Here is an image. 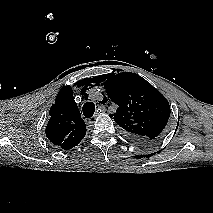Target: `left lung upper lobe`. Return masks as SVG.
<instances>
[{
	"instance_id": "obj_1",
	"label": "left lung upper lobe",
	"mask_w": 213,
	"mask_h": 213,
	"mask_svg": "<svg viewBox=\"0 0 213 213\" xmlns=\"http://www.w3.org/2000/svg\"><path fill=\"white\" fill-rule=\"evenodd\" d=\"M102 81L107 96L118 106L116 113L110 116L126 134L140 143L158 139L170 117L167 99L135 73L117 70V73L103 75Z\"/></svg>"
}]
</instances>
